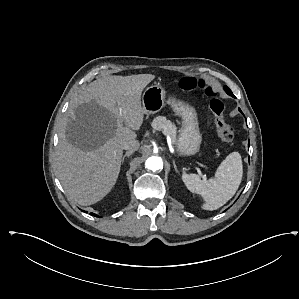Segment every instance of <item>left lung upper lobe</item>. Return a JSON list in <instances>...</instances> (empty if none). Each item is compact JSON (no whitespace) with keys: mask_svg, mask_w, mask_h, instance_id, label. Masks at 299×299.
Segmentation results:
<instances>
[{"mask_svg":"<svg viewBox=\"0 0 299 299\" xmlns=\"http://www.w3.org/2000/svg\"><path fill=\"white\" fill-rule=\"evenodd\" d=\"M224 90L226 91V93L228 95H230V96L233 95L232 91L227 86L224 87Z\"/></svg>","mask_w":299,"mask_h":299,"instance_id":"1","label":"left lung upper lobe"}]
</instances>
